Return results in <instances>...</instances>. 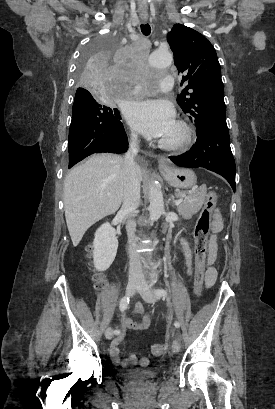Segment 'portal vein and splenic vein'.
<instances>
[{
    "label": "portal vein and splenic vein",
    "instance_id": "portal-vein-and-splenic-vein-1",
    "mask_svg": "<svg viewBox=\"0 0 275 409\" xmlns=\"http://www.w3.org/2000/svg\"><path fill=\"white\" fill-rule=\"evenodd\" d=\"M183 198H179V200H176V205H179V202H182Z\"/></svg>",
    "mask_w": 275,
    "mask_h": 409
}]
</instances>
